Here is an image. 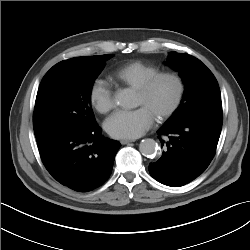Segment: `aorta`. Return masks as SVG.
Here are the masks:
<instances>
[{"label":"aorta","instance_id":"1","mask_svg":"<svg viewBox=\"0 0 250 250\" xmlns=\"http://www.w3.org/2000/svg\"><path fill=\"white\" fill-rule=\"evenodd\" d=\"M114 101L118 106L130 109L134 106V95L128 90H120L116 92ZM139 150L142 155L153 158L159 153L158 143L150 138L144 139L139 145Z\"/></svg>","mask_w":250,"mask_h":250}]
</instances>
